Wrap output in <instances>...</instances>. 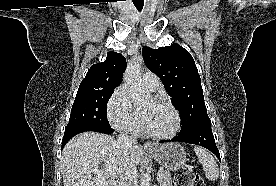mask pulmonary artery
<instances>
[{
  "instance_id": "e3ab8cb5",
  "label": "pulmonary artery",
  "mask_w": 276,
  "mask_h": 186,
  "mask_svg": "<svg viewBox=\"0 0 276 186\" xmlns=\"http://www.w3.org/2000/svg\"><path fill=\"white\" fill-rule=\"evenodd\" d=\"M142 83L147 89L152 90V91L158 89L159 84H160L158 77L150 71H146L143 74Z\"/></svg>"
}]
</instances>
